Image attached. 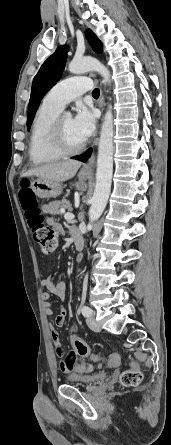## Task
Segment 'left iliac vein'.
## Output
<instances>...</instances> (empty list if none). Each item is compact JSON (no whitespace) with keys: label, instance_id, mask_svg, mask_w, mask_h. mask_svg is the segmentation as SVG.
I'll return each mask as SVG.
<instances>
[{"label":"left iliac vein","instance_id":"left-iliac-vein-1","mask_svg":"<svg viewBox=\"0 0 171 445\" xmlns=\"http://www.w3.org/2000/svg\"><path fill=\"white\" fill-rule=\"evenodd\" d=\"M86 322H87L88 327H89L92 331H94V332H100L101 327H100L99 323L95 321L94 316H93L92 314H91V316H89V317L86 319Z\"/></svg>","mask_w":171,"mask_h":445}]
</instances>
